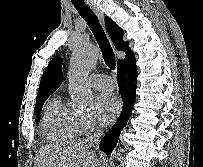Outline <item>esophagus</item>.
Listing matches in <instances>:
<instances>
[{"label": "esophagus", "instance_id": "esophagus-1", "mask_svg": "<svg viewBox=\"0 0 203 167\" xmlns=\"http://www.w3.org/2000/svg\"><path fill=\"white\" fill-rule=\"evenodd\" d=\"M89 7L93 10V12L98 16L101 21H104V14L102 10L91 0H88Z\"/></svg>", "mask_w": 203, "mask_h": 167}]
</instances>
